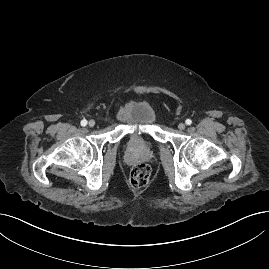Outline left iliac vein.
<instances>
[{
	"label": "left iliac vein",
	"mask_w": 269,
	"mask_h": 269,
	"mask_svg": "<svg viewBox=\"0 0 269 269\" xmlns=\"http://www.w3.org/2000/svg\"><path fill=\"white\" fill-rule=\"evenodd\" d=\"M185 127H186V125H185L184 123H179V124H178V128H179L180 130H184Z\"/></svg>",
	"instance_id": "obj_1"
}]
</instances>
